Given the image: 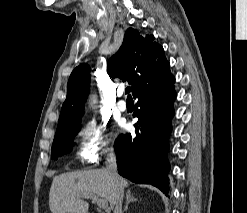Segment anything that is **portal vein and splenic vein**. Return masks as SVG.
Segmentation results:
<instances>
[{"label":"portal vein and splenic vein","instance_id":"obj_1","mask_svg":"<svg viewBox=\"0 0 247 213\" xmlns=\"http://www.w3.org/2000/svg\"><path fill=\"white\" fill-rule=\"evenodd\" d=\"M87 198H91L93 201H95L98 206L102 209L108 208V202L105 199L98 198L96 195L93 194H85L84 195Z\"/></svg>","mask_w":247,"mask_h":213}]
</instances>
